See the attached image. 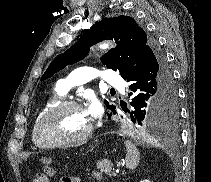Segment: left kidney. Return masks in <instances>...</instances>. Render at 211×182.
Returning a JSON list of instances; mask_svg holds the SVG:
<instances>
[{
  "label": "left kidney",
  "instance_id": "1",
  "mask_svg": "<svg viewBox=\"0 0 211 182\" xmlns=\"http://www.w3.org/2000/svg\"><path fill=\"white\" fill-rule=\"evenodd\" d=\"M140 182H151V181L146 179V180H142Z\"/></svg>",
  "mask_w": 211,
  "mask_h": 182
}]
</instances>
